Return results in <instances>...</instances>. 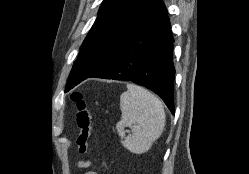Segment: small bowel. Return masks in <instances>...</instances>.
<instances>
[{
    "label": "small bowel",
    "mask_w": 249,
    "mask_h": 174,
    "mask_svg": "<svg viewBox=\"0 0 249 174\" xmlns=\"http://www.w3.org/2000/svg\"><path fill=\"white\" fill-rule=\"evenodd\" d=\"M90 161H88V160H81V161H79L78 163H77V167L78 168H87V167H89L90 166ZM86 174H96L95 172H93V171H89V172H87Z\"/></svg>",
    "instance_id": "1"
}]
</instances>
